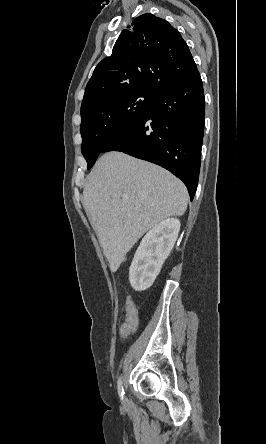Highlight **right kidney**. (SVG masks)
Here are the masks:
<instances>
[{
	"label": "right kidney",
	"mask_w": 266,
	"mask_h": 444,
	"mask_svg": "<svg viewBox=\"0 0 266 444\" xmlns=\"http://www.w3.org/2000/svg\"><path fill=\"white\" fill-rule=\"evenodd\" d=\"M180 221L166 219L154 226L142 239L129 270V280L136 291L148 289L177 240Z\"/></svg>",
	"instance_id": "obj_1"
}]
</instances>
